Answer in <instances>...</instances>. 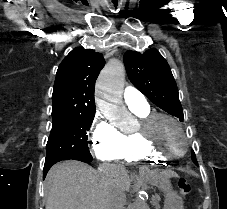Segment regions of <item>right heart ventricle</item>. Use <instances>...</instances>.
<instances>
[{
    "label": "right heart ventricle",
    "instance_id": "right-heart-ventricle-1",
    "mask_svg": "<svg viewBox=\"0 0 227 209\" xmlns=\"http://www.w3.org/2000/svg\"><path fill=\"white\" fill-rule=\"evenodd\" d=\"M133 111L139 119L144 118L150 113L149 107L144 109L134 108ZM135 133H123V145L117 160L126 164H156L162 162L164 159L146 150Z\"/></svg>",
    "mask_w": 227,
    "mask_h": 209
}]
</instances>
